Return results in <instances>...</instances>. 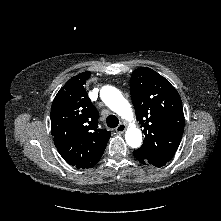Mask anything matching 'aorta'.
Here are the masks:
<instances>
[{
    "label": "aorta",
    "instance_id": "762f6f07",
    "mask_svg": "<svg viewBox=\"0 0 221 221\" xmlns=\"http://www.w3.org/2000/svg\"><path fill=\"white\" fill-rule=\"evenodd\" d=\"M100 96L103 102L112 111L126 120L133 119L131 105L123 97L121 92L112 86H104L100 91ZM127 144L132 148H138L142 143V133L140 129L132 125L129 127L125 134Z\"/></svg>",
    "mask_w": 221,
    "mask_h": 221
}]
</instances>
